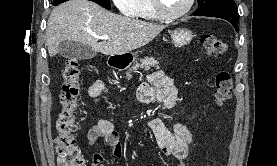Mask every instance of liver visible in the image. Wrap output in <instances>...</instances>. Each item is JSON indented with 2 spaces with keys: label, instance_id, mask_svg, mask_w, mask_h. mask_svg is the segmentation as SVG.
<instances>
[{
  "label": "liver",
  "instance_id": "1",
  "mask_svg": "<svg viewBox=\"0 0 277 166\" xmlns=\"http://www.w3.org/2000/svg\"><path fill=\"white\" fill-rule=\"evenodd\" d=\"M166 28L117 15L90 0H69L55 7L48 19L46 45L50 57L59 52L63 41L89 45L105 55H121L150 43ZM97 36H109L98 42Z\"/></svg>",
  "mask_w": 277,
  "mask_h": 166
}]
</instances>
